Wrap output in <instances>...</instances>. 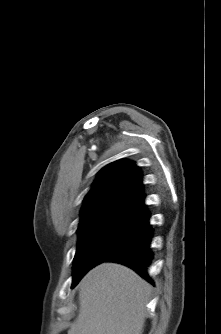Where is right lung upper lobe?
Returning <instances> with one entry per match:
<instances>
[{
    "label": "right lung upper lobe",
    "mask_w": 221,
    "mask_h": 334,
    "mask_svg": "<svg viewBox=\"0 0 221 334\" xmlns=\"http://www.w3.org/2000/svg\"><path fill=\"white\" fill-rule=\"evenodd\" d=\"M142 176L135 163L118 160L105 166L84 199L80 223L100 215L147 218Z\"/></svg>",
    "instance_id": "right-lung-upper-lobe-1"
}]
</instances>
